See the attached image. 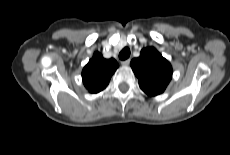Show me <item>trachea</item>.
Instances as JSON below:
<instances>
[{"mask_svg":"<svg viewBox=\"0 0 230 155\" xmlns=\"http://www.w3.org/2000/svg\"><path fill=\"white\" fill-rule=\"evenodd\" d=\"M129 56H130V49L128 47L123 48L119 53V58L121 60H126L127 58H129Z\"/></svg>","mask_w":230,"mask_h":155,"instance_id":"3493384b","label":"trachea"}]
</instances>
